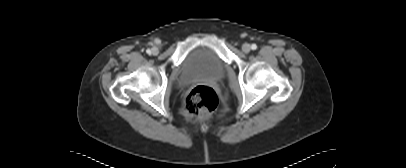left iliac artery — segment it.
I'll return each instance as SVG.
<instances>
[{"label":"left iliac artery","instance_id":"obj_1","mask_svg":"<svg viewBox=\"0 0 406 168\" xmlns=\"http://www.w3.org/2000/svg\"><path fill=\"white\" fill-rule=\"evenodd\" d=\"M251 49H252V50H256V49H257V45H256V44H252V45H251Z\"/></svg>","mask_w":406,"mask_h":168}]
</instances>
